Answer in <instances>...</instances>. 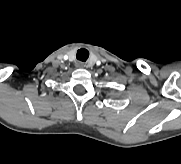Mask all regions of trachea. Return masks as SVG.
Segmentation results:
<instances>
[{"instance_id": "trachea-1", "label": "trachea", "mask_w": 181, "mask_h": 164, "mask_svg": "<svg viewBox=\"0 0 181 164\" xmlns=\"http://www.w3.org/2000/svg\"><path fill=\"white\" fill-rule=\"evenodd\" d=\"M89 57V51L85 48H81L77 51L76 58L82 62H85Z\"/></svg>"}]
</instances>
